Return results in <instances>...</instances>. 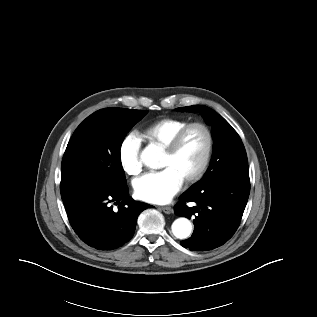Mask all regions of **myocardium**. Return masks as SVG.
Returning <instances> with one entry per match:
<instances>
[{"label":"myocardium","mask_w":317,"mask_h":317,"mask_svg":"<svg viewBox=\"0 0 317 317\" xmlns=\"http://www.w3.org/2000/svg\"><path fill=\"white\" fill-rule=\"evenodd\" d=\"M194 127L201 128L205 132L207 137V145H206V150H205L203 160L199 168L191 176L184 179V182L187 184H193L198 182L204 176V174L206 173L209 167V164L212 158L213 148H214V137L210 127L204 122H200V121L190 122L186 126H184L182 129H180L175 134V136L171 139L169 144L164 148V152L167 155L169 156L175 155L178 152L188 131Z\"/></svg>","instance_id":"f54148a6"}]
</instances>
